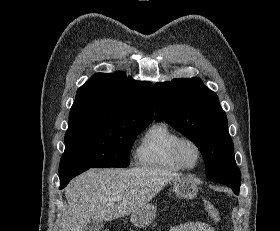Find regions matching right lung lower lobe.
Segmentation results:
<instances>
[{
	"label": "right lung lower lobe",
	"instance_id": "1",
	"mask_svg": "<svg viewBox=\"0 0 280 231\" xmlns=\"http://www.w3.org/2000/svg\"><path fill=\"white\" fill-rule=\"evenodd\" d=\"M89 166L64 165L59 167L60 189L66 187L68 182L80 173L90 169Z\"/></svg>",
	"mask_w": 280,
	"mask_h": 231
}]
</instances>
